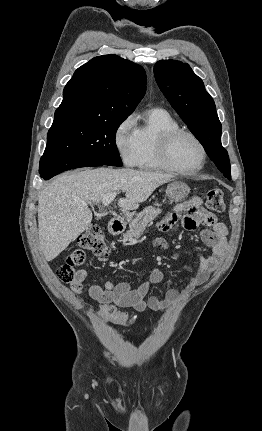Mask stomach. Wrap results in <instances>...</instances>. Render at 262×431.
<instances>
[{"label":"stomach","instance_id":"1","mask_svg":"<svg viewBox=\"0 0 262 431\" xmlns=\"http://www.w3.org/2000/svg\"><path fill=\"white\" fill-rule=\"evenodd\" d=\"M190 193L189 186L178 180H173L166 187V196L171 202H182L184 201Z\"/></svg>","mask_w":262,"mask_h":431}]
</instances>
